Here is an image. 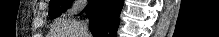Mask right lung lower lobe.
Segmentation results:
<instances>
[{"label":"right lung lower lobe","mask_w":219,"mask_h":37,"mask_svg":"<svg viewBox=\"0 0 219 37\" xmlns=\"http://www.w3.org/2000/svg\"><path fill=\"white\" fill-rule=\"evenodd\" d=\"M123 2L124 0H92L86 7L90 31L94 37H116Z\"/></svg>","instance_id":"98d812e1"}]
</instances>
